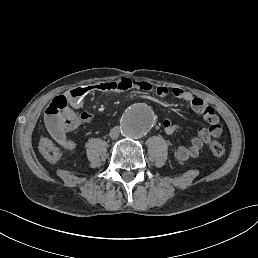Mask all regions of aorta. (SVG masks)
<instances>
[{"label": "aorta", "instance_id": "1", "mask_svg": "<svg viewBox=\"0 0 258 258\" xmlns=\"http://www.w3.org/2000/svg\"><path fill=\"white\" fill-rule=\"evenodd\" d=\"M154 122V114L149 106L134 104L121 118V131L125 137L137 139L144 136Z\"/></svg>", "mask_w": 258, "mask_h": 258}]
</instances>
